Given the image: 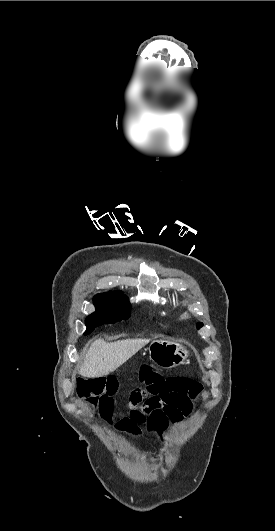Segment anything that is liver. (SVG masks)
I'll use <instances>...</instances> for the list:
<instances>
[{"instance_id": "liver-1", "label": "liver", "mask_w": 275, "mask_h": 531, "mask_svg": "<svg viewBox=\"0 0 275 531\" xmlns=\"http://www.w3.org/2000/svg\"><path fill=\"white\" fill-rule=\"evenodd\" d=\"M149 341L150 339H126L116 343H105L103 339H98L85 353L83 365L79 367V375L91 379L109 375L138 353Z\"/></svg>"}]
</instances>
